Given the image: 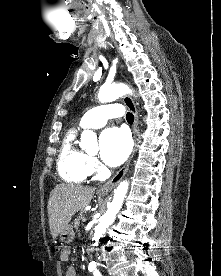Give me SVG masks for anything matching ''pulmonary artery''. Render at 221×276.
<instances>
[{"label": "pulmonary artery", "mask_w": 221, "mask_h": 276, "mask_svg": "<svg viewBox=\"0 0 221 276\" xmlns=\"http://www.w3.org/2000/svg\"><path fill=\"white\" fill-rule=\"evenodd\" d=\"M123 115V109L119 104H106L97 106L86 112L79 122V128H100L111 118Z\"/></svg>", "instance_id": "pulmonary-artery-1"}]
</instances>
